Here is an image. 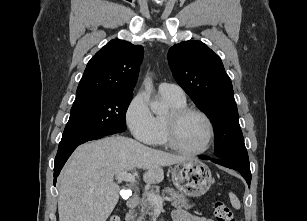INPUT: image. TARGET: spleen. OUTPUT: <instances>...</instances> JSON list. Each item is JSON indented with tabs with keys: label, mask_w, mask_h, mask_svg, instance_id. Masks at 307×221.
I'll list each match as a JSON object with an SVG mask.
<instances>
[{
	"label": "spleen",
	"mask_w": 307,
	"mask_h": 221,
	"mask_svg": "<svg viewBox=\"0 0 307 221\" xmlns=\"http://www.w3.org/2000/svg\"><path fill=\"white\" fill-rule=\"evenodd\" d=\"M229 198H230L231 205L235 209H240L241 208L240 201H239V199L237 198V196L234 193L230 192L229 193Z\"/></svg>",
	"instance_id": "1"
}]
</instances>
